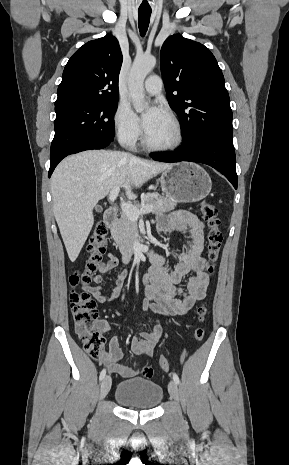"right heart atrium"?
Segmentation results:
<instances>
[{"instance_id": "right-heart-atrium-1", "label": "right heart atrium", "mask_w": 289, "mask_h": 465, "mask_svg": "<svg viewBox=\"0 0 289 465\" xmlns=\"http://www.w3.org/2000/svg\"><path fill=\"white\" fill-rule=\"evenodd\" d=\"M113 125L117 139L125 146H133L141 135L139 119L125 103L118 104L113 115Z\"/></svg>"}]
</instances>
